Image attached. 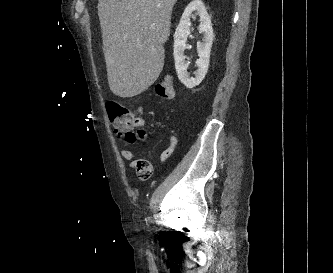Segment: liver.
<instances>
[{"instance_id": "obj_1", "label": "liver", "mask_w": 333, "mask_h": 273, "mask_svg": "<svg viewBox=\"0 0 333 273\" xmlns=\"http://www.w3.org/2000/svg\"><path fill=\"white\" fill-rule=\"evenodd\" d=\"M177 0H99L98 17L110 90L126 98L141 94L164 66Z\"/></svg>"}]
</instances>
